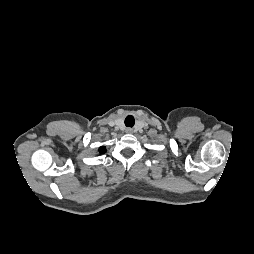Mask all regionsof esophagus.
Here are the masks:
<instances>
[{
	"label": "esophagus",
	"mask_w": 254,
	"mask_h": 254,
	"mask_svg": "<svg viewBox=\"0 0 254 254\" xmlns=\"http://www.w3.org/2000/svg\"><path fill=\"white\" fill-rule=\"evenodd\" d=\"M132 132H133V130L131 128L126 129V133H132Z\"/></svg>",
	"instance_id": "esophagus-1"
}]
</instances>
